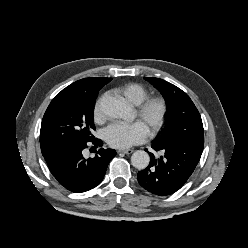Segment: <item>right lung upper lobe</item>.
Wrapping results in <instances>:
<instances>
[{"label": "right lung upper lobe", "mask_w": 248, "mask_h": 248, "mask_svg": "<svg viewBox=\"0 0 248 248\" xmlns=\"http://www.w3.org/2000/svg\"><path fill=\"white\" fill-rule=\"evenodd\" d=\"M111 80L112 78H84L72 83L63 89L60 94L70 93L91 97L94 94H98V91ZM46 153L43 152L42 154L45 155Z\"/></svg>", "instance_id": "obj_1"}]
</instances>
